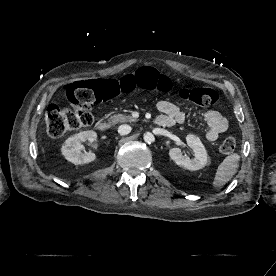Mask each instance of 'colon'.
<instances>
[{"label": "colon", "mask_w": 276, "mask_h": 276, "mask_svg": "<svg viewBox=\"0 0 276 276\" xmlns=\"http://www.w3.org/2000/svg\"><path fill=\"white\" fill-rule=\"evenodd\" d=\"M145 89L158 93H170L172 81L151 67H142L134 75L128 74L119 80L89 81L80 80L70 84L65 92L70 108L50 105L45 114L47 132L51 137H61L65 133L92 125V110L96 105L106 102L121 93L135 89ZM181 100L189 101L199 107H210L218 100L212 88H182L177 93ZM236 141L232 137L223 140L220 151L229 155L234 153Z\"/></svg>", "instance_id": "1"}]
</instances>
